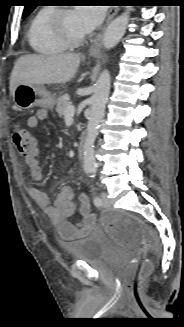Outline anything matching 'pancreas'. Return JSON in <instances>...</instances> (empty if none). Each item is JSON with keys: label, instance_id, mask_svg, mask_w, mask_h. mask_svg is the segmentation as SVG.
<instances>
[{"label": "pancreas", "instance_id": "pancreas-1", "mask_svg": "<svg viewBox=\"0 0 184 327\" xmlns=\"http://www.w3.org/2000/svg\"><path fill=\"white\" fill-rule=\"evenodd\" d=\"M69 105H71L69 96L61 95L58 97L56 111H57L59 117L65 116V110H66L67 106H69Z\"/></svg>", "mask_w": 184, "mask_h": 327}]
</instances>
